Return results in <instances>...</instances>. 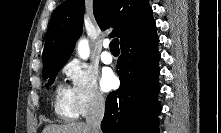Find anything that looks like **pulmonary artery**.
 Returning <instances> with one entry per match:
<instances>
[{"label": "pulmonary artery", "mask_w": 221, "mask_h": 133, "mask_svg": "<svg viewBox=\"0 0 221 133\" xmlns=\"http://www.w3.org/2000/svg\"><path fill=\"white\" fill-rule=\"evenodd\" d=\"M109 41L103 42L104 51L101 53V60L105 64H111L113 62V55L109 51Z\"/></svg>", "instance_id": "obj_1"}]
</instances>
